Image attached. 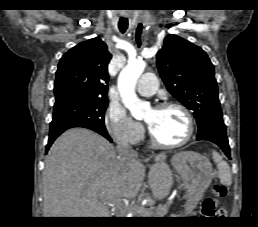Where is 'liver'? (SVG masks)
I'll return each instance as SVG.
<instances>
[{
    "mask_svg": "<svg viewBox=\"0 0 258 227\" xmlns=\"http://www.w3.org/2000/svg\"><path fill=\"white\" fill-rule=\"evenodd\" d=\"M166 155L154 158L148 184L155 198L168 196L173 174ZM145 178V166L124 160L102 136L84 129L64 132L51 146L43 172L44 217H107L110 199H131Z\"/></svg>",
    "mask_w": 258,
    "mask_h": 227,
    "instance_id": "liver-1",
    "label": "liver"
}]
</instances>
